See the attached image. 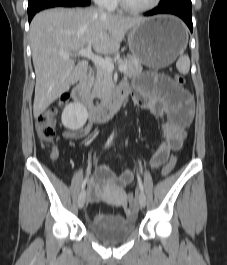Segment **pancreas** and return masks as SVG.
Segmentation results:
<instances>
[{
	"label": "pancreas",
	"instance_id": "pancreas-1",
	"mask_svg": "<svg viewBox=\"0 0 227 265\" xmlns=\"http://www.w3.org/2000/svg\"><path fill=\"white\" fill-rule=\"evenodd\" d=\"M119 65H125L126 71L124 74L128 77L139 75L142 72L141 63L133 56H127L118 62ZM89 87L92 90V95L100 99H105L114 89L112 80V72L97 67L95 74L91 77Z\"/></svg>",
	"mask_w": 227,
	"mask_h": 265
}]
</instances>
